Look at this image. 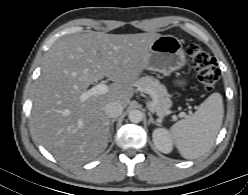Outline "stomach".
<instances>
[{
	"label": "stomach",
	"instance_id": "0dacf381",
	"mask_svg": "<svg viewBox=\"0 0 248 195\" xmlns=\"http://www.w3.org/2000/svg\"><path fill=\"white\" fill-rule=\"evenodd\" d=\"M186 55L180 40L172 35H163L150 46L146 69L157 71L165 76L183 68Z\"/></svg>",
	"mask_w": 248,
	"mask_h": 195
}]
</instances>
